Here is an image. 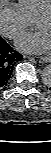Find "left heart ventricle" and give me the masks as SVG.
Masks as SVG:
<instances>
[{"label": "left heart ventricle", "mask_w": 51, "mask_h": 153, "mask_svg": "<svg viewBox=\"0 0 51 153\" xmlns=\"http://www.w3.org/2000/svg\"><path fill=\"white\" fill-rule=\"evenodd\" d=\"M37 27L39 29H44L46 30L49 34H51V18H45L41 20L38 24Z\"/></svg>", "instance_id": "1"}]
</instances>
